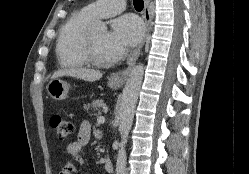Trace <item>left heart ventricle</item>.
<instances>
[{"label": "left heart ventricle", "mask_w": 249, "mask_h": 174, "mask_svg": "<svg viewBox=\"0 0 249 174\" xmlns=\"http://www.w3.org/2000/svg\"><path fill=\"white\" fill-rule=\"evenodd\" d=\"M95 54L99 59L110 62L111 58L107 46L108 32L105 30L91 33Z\"/></svg>", "instance_id": "obj_1"}]
</instances>
